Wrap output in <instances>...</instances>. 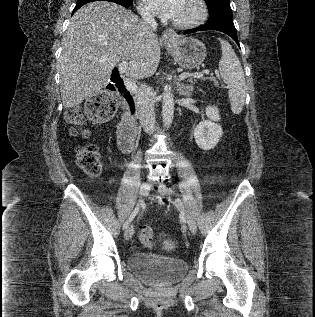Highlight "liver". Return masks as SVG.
Segmentation results:
<instances>
[{
	"instance_id": "6515ba94",
	"label": "liver",
	"mask_w": 315,
	"mask_h": 317,
	"mask_svg": "<svg viewBox=\"0 0 315 317\" xmlns=\"http://www.w3.org/2000/svg\"><path fill=\"white\" fill-rule=\"evenodd\" d=\"M128 63L126 75L137 81L154 75L160 42L132 11L95 1L71 18L62 39L60 92L65 108L75 107L104 88L113 69Z\"/></svg>"
}]
</instances>
